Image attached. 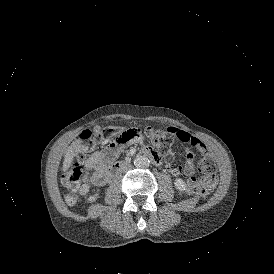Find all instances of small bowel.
Here are the masks:
<instances>
[{"label": "small bowel", "instance_id": "1", "mask_svg": "<svg viewBox=\"0 0 274 274\" xmlns=\"http://www.w3.org/2000/svg\"><path fill=\"white\" fill-rule=\"evenodd\" d=\"M166 131L171 137H174L181 142L190 144L201 152L206 151L205 144L200 139L192 136L188 132L182 129H175L172 124H169L166 127ZM132 142L140 146H144L145 144L143 138L140 137V135ZM124 147L125 145L115 146L112 144L105 150L93 153L86 160L84 164L81 185L79 188V191L82 195L92 194V186L103 187L109 182L114 170V165L116 164L115 160L118 157L119 153L124 149ZM193 147H190V150H193ZM196 157V154L192 152L188 155V161H182V164L185 165L184 167L169 166L167 170L175 176L181 173H184L186 176H192L195 173V165L193 160H195ZM202 158H205V155H202ZM206 167L211 168V165L206 164ZM198 171L206 173V170L203 168H198ZM211 173L212 181H216L217 175L215 174L214 170H211Z\"/></svg>", "mask_w": 274, "mask_h": 274}]
</instances>
